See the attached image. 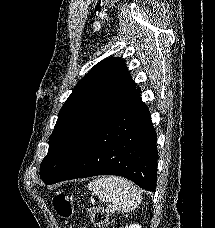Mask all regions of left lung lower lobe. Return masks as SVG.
Instances as JSON below:
<instances>
[{"instance_id": "obj_1", "label": "left lung lower lobe", "mask_w": 215, "mask_h": 228, "mask_svg": "<svg viewBox=\"0 0 215 228\" xmlns=\"http://www.w3.org/2000/svg\"><path fill=\"white\" fill-rule=\"evenodd\" d=\"M156 132L140 89L95 132L68 166L47 185L96 175H118L155 192Z\"/></svg>"}]
</instances>
